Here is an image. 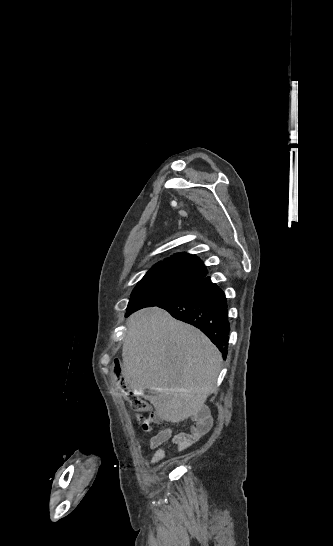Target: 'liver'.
<instances>
[{
    "label": "liver",
    "instance_id": "liver-1",
    "mask_svg": "<svg viewBox=\"0 0 333 546\" xmlns=\"http://www.w3.org/2000/svg\"><path fill=\"white\" fill-rule=\"evenodd\" d=\"M123 376L164 420L178 423L206 409L216 389L222 355L195 327L157 307L135 312L127 321ZM154 394V395H153Z\"/></svg>",
    "mask_w": 333,
    "mask_h": 546
}]
</instances>
